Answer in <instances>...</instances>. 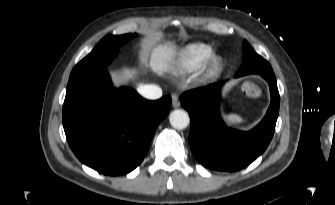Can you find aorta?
Masks as SVG:
<instances>
[{
    "mask_svg": "<svg viewBox=\"0 0 335 205\" xmlns=\"http://www.w3.org/2000/svg\"><path fill=\"white\" fill-rule=\"evenodd\" d=\"M169 122L176 129H185L190 123V118L186 111L177 109L170 113Z\"/></svg>",
    "mask_w": 335,
    "mask_h": 205,
    "instance_id": "obj_1",
    "label": "aorta"
}]
</instances>
